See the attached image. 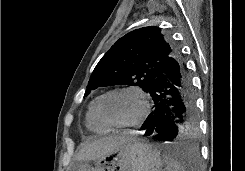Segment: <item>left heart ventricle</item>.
Returning <instances> with one entry per match:
<instances>
[{
	"label": "left heart ventricle",
	"mask_w": 245,
	"mask_h": 171,
	"mask_svg": "<svg viewBox=\"0 0 245 171\" xmlns=\"http://www.w3.org/2000/svg\"><path fill=\"white\" fill-rule=\"evenodd\" d=\"M140 108V100L132 92L111 94L102 103L103 115L112 123H125L133 120Z\"/></svg>",
	"instance_id": "1"
}]
</instances>
